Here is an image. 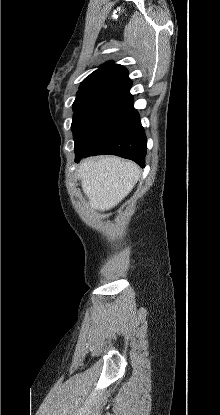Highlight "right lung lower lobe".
<instances>
[{
    "mask_svg": "<svg viewBox=\"0 0 220 415\" xmlns=\"http://www.w3.org/2000/svg\"><path fill=\"white\" fill-rule=\"evenodd\" d=\"M147 139L133 99L122 106L106 123L87 149L75 150V161L82 157L113 154L145 166Z\"/></svg>",
    "mask_w": 220,
    "mask_h": 415,
    "instance_id": "98d812e1",
    "label": "right lung lower lobe"
}]
</instances>
